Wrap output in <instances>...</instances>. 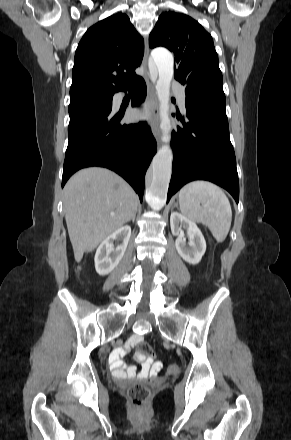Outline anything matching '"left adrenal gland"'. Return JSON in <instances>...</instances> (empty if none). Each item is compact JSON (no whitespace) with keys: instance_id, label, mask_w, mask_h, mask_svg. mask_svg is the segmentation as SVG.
Masks as SVG:
<instances>
[{"instance_id":"1","label":"left adrenal gland","mask_w":291,"mask_h":440,"mask_svg":"<svg viewBox=\"0 0 291 440\" xmlns=\"http://www.w3.org/2000/svg\"><path fill=\"white\" fill-rule=\"evenodd\" d=\"M174 206H175V207H178V203L176 202Z\"/></svg>"}]
</instances>
